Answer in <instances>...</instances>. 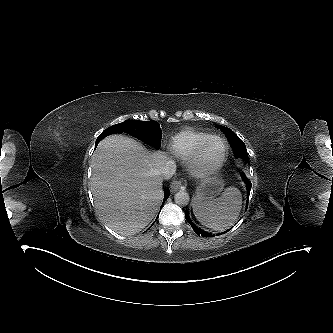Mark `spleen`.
Wrapping results in <instances>:
<instances>
[{
  "label": "spleen",
  "instance_id": "obj_1",
  "mask_svg": "<svg viewBox=\"0 0 333 333\" xmlns=\"http://www.w3.org/2000/svg\"><path fill=\"white\" fill-rule=\"evenodd\" d=\"M241 205L240 191L235 187H229L218 198L203 200L195 197L193 213L202 225L215 231H223L237 220Z\"/></svg>",
  "mask_w": 333,
  "mask_h": 333
}]
</instances>
